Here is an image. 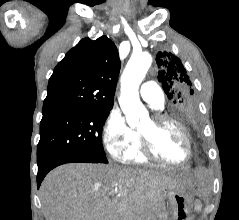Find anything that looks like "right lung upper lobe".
Segmentation results:
<instances>
[{
	"label": "right lung upper lobe",
	"mask_w": 239,
	"mask_h": 220,
	"mask_svg": "<svg viewBox=\"0 0 239 220\" xmlns=\"http://www.w3.org/2000/svg\"><path fill=\"white\" fill-rule=\"evenodd\" d=\"M120 60L106 36L82 39L55 67L43 114L56 111L112 109Z\"/></svg>",
	"instance_id": "right-lung-upper-lobe-1"
}]
</instances>
